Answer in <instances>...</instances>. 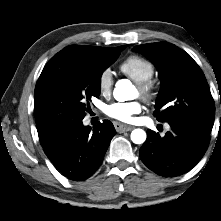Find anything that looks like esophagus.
I'll return each mask as SVG.
<instances>
[{"instance_id": "esophagus-1", "label": "esophagus", "mask_w": 221, "mask_h": 221, "mask_svg": "<svg viewBox=\"0 0 221 221\" xmlns=\"http://www.w3.org/2000/svg\"><path fill=\"white\" fill-rule=\"evenodd\" d=\"M114 126H115L116 131L119 132V133H123V132H126V131H131V130L134 129L133 126L124 125V124H121V123H118V122H115Z\"/></svg>"}]
</instances>
